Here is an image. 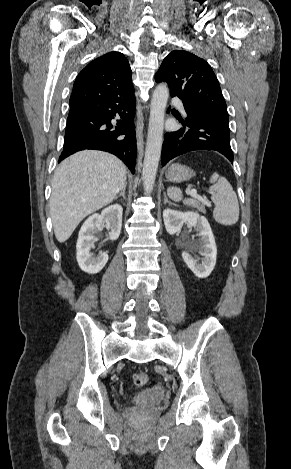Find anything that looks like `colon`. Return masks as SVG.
<instances>
[{
    "label": "colon",
    "instance_id": "1",
    "mask_svg": "<svg viewBox=\"0 0 291 469\" xmlns=\"http://www.w3.org/2000/svg\"><path fill=\"white\" fill-rule=\"evenodd\" d=\"M149 382V376L145 372H137L132 377V383L135 387H143Z\"/></svg>",
    "mask_w": 291,
    "mask_h": 469
}]
</instances>
